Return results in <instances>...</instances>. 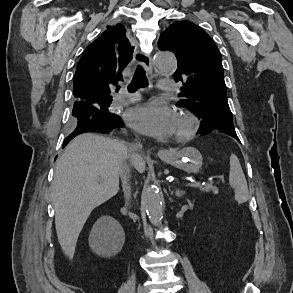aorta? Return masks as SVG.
Wrapping results in <instances>:
<instances>
[{"label": "aorta", "mask_w": 293, "mask_h": 293, "mask_svg": "<svg viewBox=\"0 0 293 293\" xmlns=\"http://www.w3.org/2000/svg\"><path fill=\"white\" fill-rule=\"evenodd\" d=\"M155 69L159 73H171L176 68L175 56L166 51L155 53ZM143 203L150 222L154 226H160L163 219L162 198L154 186H149L144 190Z\"/></svg>", "instance_id": "762f6f07"}]
</instances>
